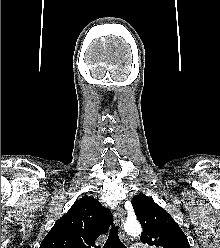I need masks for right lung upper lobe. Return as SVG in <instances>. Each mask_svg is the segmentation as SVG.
<instances>
[{
  "mask_svg": "<svg viewBox=\"0 0 220 248\" xmlns=\"http://www.w3.org/2000/svg\"><path fill=\"white\" fill-rule=\"evenodd\" d=\"M111 223L109 209L91 196L82 197L54 224L40 248H100L95 241Z\"/></svg>",
  "mask_w": 220,
  "mask_h": 248,
  "instance_id": "obj_1",
  "label": "right lung upper lobe"
}]
</instances>
